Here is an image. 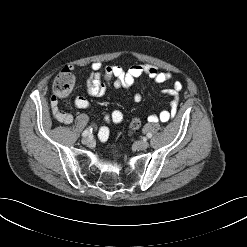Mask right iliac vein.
I'll use <instances>...</instances> for the list:
<instances>
[{"label": "right iliac vein", "instance_id": "right-iliac-vein-1", "mask_svg": "<svg viewBox=\"0 0 247 247\" xmlns=\"http://www.w3.org/2000/svg\"><path fill=\"white\" fill-rule=\"evenodd\" d=\"M93 139L91 138V137H86V138H83V140H82V143L84 144V145H87V146H90V145H92L93 144Z\"/></svg>", "mask_w": 247, "mask_h": 247}]
</instances>
